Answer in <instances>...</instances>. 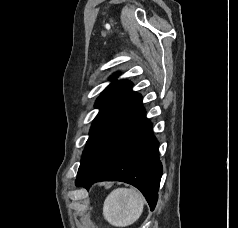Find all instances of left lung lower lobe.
I'll use <instances>...</instances> for the list:
<instances>
[{
  "label": "left lung lower lobe",
  "instance_id": "left-lung-lower-lobe-1",
  "mask_svg": "<svg viewBox=\"0 0 238 228\" xmlns=\"http://www.w3.org/2000/svg\"><path fill=\"white\" fill-rule=\"evenodd\" d=\"M142 105L117 133L104 158L87 176H79L76 186L89 188L98 181H122L137 187L151 210L156 206L162 176L158 141Z\"/></svg>",
  "mask_w": 238,
  "mask_h": 228
}]
</instances>
